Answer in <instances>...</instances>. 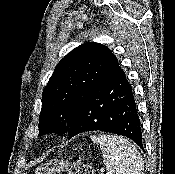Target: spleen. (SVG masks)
I'll return each instance as SVG.
<instances>
[{
    "label": "spleen",
    "mask_w": 175,
    "mask_h": 174,
    "mask_svg": "<svg viewBox=\"0 0 175 174\" xmlns=\"http://www.w3.org/2000/svg\"><path fill=\"white\" fill-rule=\"evenodd\" d=\"M91 140L101 147L107 174H143V158L126 138L102 134L92 135Z\"/></svg>",
    "instance_id": "obj_1"
}]
</instances>
